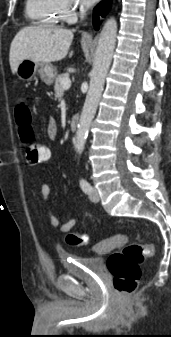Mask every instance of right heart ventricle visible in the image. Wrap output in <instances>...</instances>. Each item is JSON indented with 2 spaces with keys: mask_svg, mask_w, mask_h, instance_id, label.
I'll use <instances>...</instances> for the list:
<instances>
[{
  "mask_svg": "<svg viewBox=\"0 0 171 337\" xmlns=\"http://www.w3.org/2000/svg\"><path fill=\"white\" fill-rule=\"evenodd\" d=\"M25 11L38 24L55 25L61 20L55 0H26Z\"/></svg>",
  "mask_w": 171,
  "mask_h": 337,
  "instance_id": "obj_1",
  "label": "right heart ventricle"
}]
</instances>
